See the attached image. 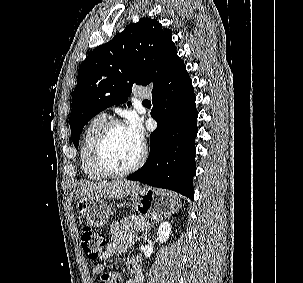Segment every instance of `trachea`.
Masks as SVG:
<instances>
[{
  "label": "trachea",
  "instance_id": "1",
  "mask_svg": "<svg viewBox=\"0 0 303 283\" xmlns=\"http://www.w3.org/2000/svg\"><path fill=\"white\" fill-rule=\"evenodd\" d=\"M147 102H149V100H144V101H143V103H147Z\"/></svg>",
  "mask_w": 303,
  "mask_h": 283
}]
</instances>
